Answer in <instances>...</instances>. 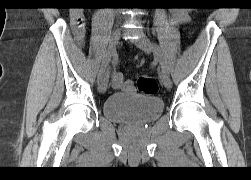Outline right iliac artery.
Wrapping results in <instances>:
<instances>
[{"label":"right iliac artery","mask_w":251,"mask_h":180,"mask_svg":"<svg viewBox=\"0 0 251 180\" xmlns=\"http://www.w3.org/2000/svg\"><path fill=\"white\" fill-rule=\"evenodd\" d=\"M110 60H111L110 54L106 52V54L104 55L103 61H102L101 68H100L99 73H98V82L102 78V76H103V74L105 72V69H106V67H107Z\"/></svg>","instance_id":"82829eb1"}]
</instances>
